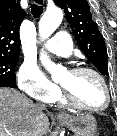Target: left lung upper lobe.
<instances>
[{
	"label": "left lung upper lobe",
	"instance_id": "left-lung-upper-lobe-1",
	"mask_svg": "<svg viewBox=\"0 0 117 136\" xmlns=\"http://www.w3.org/2000/svg\"><path fill=\"white\" fill-rule=\"evenodd\" d=\"M66 14L78 45L101 74L108 75L107 50L103 37L92 21L86 0H54Z\"/></svg>",
	"mask_w": 117,
	"mask_h": 136
}]
</instances>
